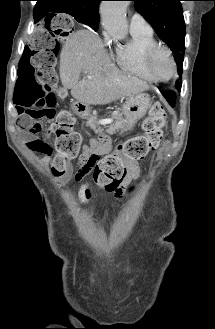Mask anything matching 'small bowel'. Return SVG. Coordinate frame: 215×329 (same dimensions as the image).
<instances>
[{
  "instance_id": "obj_1",
  "label": "small bowel",
  "mask_w": 215,
  "mask_h": 329,
  "mask_svg": "<svg viewBox=\"0 0 215 329\" xmlns=\"http://www.w3.org/2000/svg\"><path fill=\"white\" fill-rule=\"evenodd\" d=\"M27 124L28 123L24 119H22V117H21L20 126L21 125H27ZM32 132H34V131H32ZM25 133L27 134V139L25 140L26 146L29 149L40 153L42 155V158H41L42 162L47 163L50 159L51 154H52V149H51L50 152L40 151V150L35 149L32 146V142L39 135H35V134L29 133V132H25ZM107 146H108V141H106V140H104L102 142H98L96 140H91L88 145L84 146L83 154H82L81 159L83 157L89 156L91 154H97V155L103 154V153L106 152ZM124 164H125V167L127 169V176L125 178V182H124L123 186L120 187L119 189H117L114 193V196L117 200H121L124 193L125 194H134L135 189H141L143 187V184L141 182H138V180L136 179V177L139 174V167H138L137 162L134 161V160L127 159V160H125ZM126 184H127V187H125ZM89 219L92 223L96 222V217L94 215H90Z\"/></svg>"
}]
</instances>
